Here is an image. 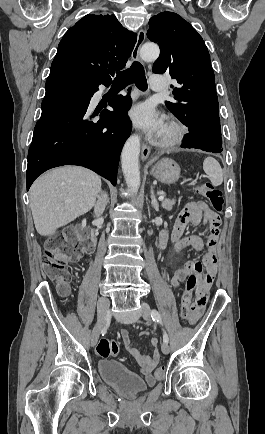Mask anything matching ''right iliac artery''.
I'll list each match as a JSON object with an SVG mask.
<instances>
[{"instance_id":"obj_1","label":"right iliac artery","mask_w":265,"mask_h":434,"mask_svg":"<svg viewBox=\"0 0 265 434\" xmlns=\"http://www.w3.org/2000/svg\"><path fill=\"white\" fill-rule=\"evenodd\" d=\"M109 319H110V312L107 311L106 320H109Z\"/></svg>"}]
</instances>
